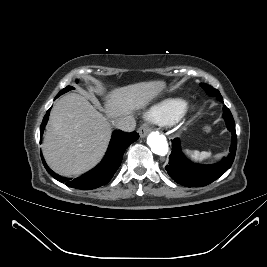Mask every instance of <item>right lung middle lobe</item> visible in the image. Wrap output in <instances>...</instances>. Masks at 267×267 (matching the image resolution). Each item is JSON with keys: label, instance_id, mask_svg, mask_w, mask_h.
Wrapping results in <instances>:
<instances>
[{"label": "right lung middle lobe", "instance_id": "obj_1", "mask_svg": "<svg viewBox=\"0 0 267 267\" xmlns=\"http://www.w3.org/2000/svg\"><path fill=\"white\" fill-rule=\"evenodd\" d=\"M72 89H74L72 86H67L66 88H64L63 90H61L59 92V94L61 95V94L65 93V92H68L69 90H72Z\"/></svg>", "mask_w": 267, "mask_h": 267}]
</instances>
